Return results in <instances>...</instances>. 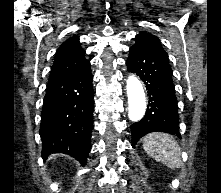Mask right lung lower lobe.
<instances>
[{"mask_svg":"<svg viewBox=\"0 0 221 193\" xmlns=\"http://www.w3.org/2000/svg\"><path fill=\"white\" fill-rule=\"evenodd\" d=\"M92 80L89 61L77 71L49 78L39 131L44 159L64 153L86 163L93 127Z\"/></svg>","mask_w":221,"mask_h":193,"instance_id":"obj_1","label":"right lung lower lobe"}]
</instances>
